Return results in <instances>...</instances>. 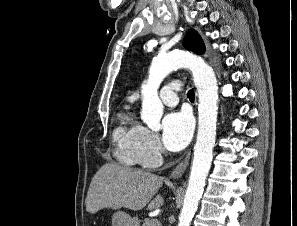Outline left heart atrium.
<instances>
[{
  "label": "left heart atrium",
  "instance_id": "39dd6f15",
  "mask_svg": "<svg viewBox=\"0 0 297 226\" xmlns=\"http://www.w3.org/2000/svg\"><path fill=\"white\" fill-rule=\"evenodd\" d=\"M162 140L170 151H180L189 143L193 123L191 117L183 111L172 112L163 119Z\"/></svg>",
  "mask_w": 297,
  "mask_h": 226
}]
</instances>
